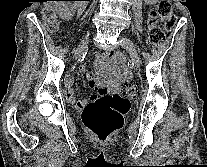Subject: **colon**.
I'll return each instance as SVG.
<instances>
[{"label":"colon","instance_id":"1","mask_svg":"<svg viewBox=\"0 0 207 167\" xmlns=\"http://www.w3.org/2000/svg\"><path fill=\"white\" fill-rule=\"evenodd\" d=\"M44 18L50 30L57 29V18L50 7H45ZM175 25L176 18L170 0H159L157 5L148 12L149 43L158 45L164 37V32L172 30ZM115 56L119 61L122 60L120 54ZM138 95V86L131 82H125L120 93L101 95L83 110L84 126L99 140L106 141L114 131L122 127L123 118L131 107V99Z\"/></svg>","mask_w":207,"mask_h":167}]
</instances>
